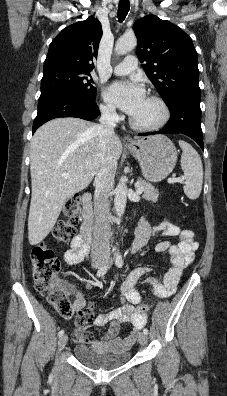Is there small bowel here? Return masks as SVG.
I'll list each match as a JSON object with an SVG mask.
<instances>
[{
	"label": "small bowel",
	"instance_id": "small-bowel-1",
	"mask_svg": "<svg viewBox=\"0 0 227 396\" xmlns=\"http://www.w3.org/2000/svg\"><path fill=\"white\" fill-rule=\"evenodd\" d=\"M157 236L178 238V243L176 244L162 241L155 247L158 252L168 253L170 268L162 279L151 278V283L159 296L167 297L176 291L184 269L194 259L198 243L195 240L193 231L181 229L175 223L163 220L156 228L152 229L146 220H142L136 228L132 251L139 252ZM88 251V246L83 243L81 237L76 236L71 242V248L64 253L63 259L68 265H76L87 258ZM149 270L150 267L148 266L135 268L120 287L119 300L122 306L98 315L93 321L96 326H108L99 342L111 351L118 352L131 347L136 341V332L146 325V314L138 312L137 308L134 307L139 305L142 299L135 286L140 277ZM67 290L74 296L73 309L78 312L76 316L77 326L74 331L75 338L79 342L91 343L94 339L88 331V323L94 317V308L93 306L85 307L86 300L82 291L76 290L72 286H67ZM122 323H131L135 331L124 338L119 337Z\"/></svg>",
	"mask_w": 227,
	"mask_h": 396
}]
</instances>
